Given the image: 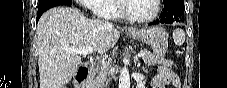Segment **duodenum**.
Here are the masks:
<instances>
[{"label": "duodenum", "mask_w": 227, "mask_h": 88, "mask_svg": "<svg viewBox=\"0 0 227 88\" xmlns=\"http://www.w3.org/2000/svg\"><path fill=\"white\" fill-rule=\"evenodd\" d=\"M91 72V65L89 62L82 63L76 73L75 82L79 88H85Z\"/></svg>", "instance_id": "410a0bca"}]
</instances>
